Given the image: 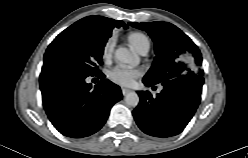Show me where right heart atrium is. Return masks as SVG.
Instances as JSON below:
<instances>
[{
    "label": "right heart atrium",
    "mask_w": 248,
    "mask_h": 158,
    "mask_svg": "<svg viewBox=\"0 0 248 158\" xmlns=\"http://www.w3.org/2000/svg\"><path fill=\"white\" fill-rule=\"evenodd\" d=\"M113 53V43L112 40L109 39L105 42L102 49V57L104 60L108 61L111 59Z\"/></svg>",
    "instance_id": "right-heart-atrium-1"
}]
</instances>
